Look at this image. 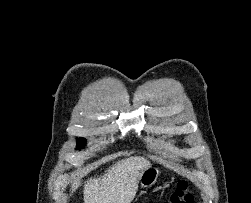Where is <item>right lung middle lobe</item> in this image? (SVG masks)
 Wrapping results in <instances>:
<instances>
[{
    "instance_id": "1",
    "label": "right lung middle lobe",
    "mask_w": 251,
    "mask_h": 203,
    "mask_svg": "<svg viewBox=\"0 0 251 203\" xmlns=\"http://www.w3.org/2000/svg\"><path fill=\"white\" fill-rule=\"evenodd\" d=\"M86 140L83 138L77 139V149H81L85 146Z\"/></svg>"
}]
</instances>
